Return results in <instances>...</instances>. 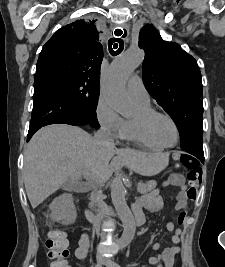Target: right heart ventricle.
<instances>
[{"mask_svg":"<svg viewBox=\"0 0 225 267\" xmlns=\"http://www.w3.org/2000/svg\"><path fill=\"white\" fill-rule=\"evenodd\" d=\"M133 101L136 107V113L124 119L121 135L145 148L162 150L150 139L144 127V117L154 110L150 101Z\"/></svg>","mask_w":225,"mask_h":267,"instance_id":"right-heart-ventricle-1","label":"right heart ventricle"}]
</instances>
